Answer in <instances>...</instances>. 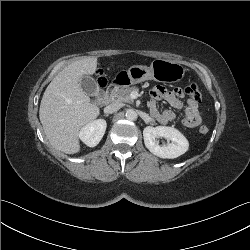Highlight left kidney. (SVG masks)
I'll list each match as a JSON object with an SVG mask.
<instances>
[{"mask_svg": "<svg viewBox=\"0 0 250 250\" xmlns=\"http://www.w3.org/2000/svg\"><path fill=\"white\" fill-rule=\"evenodd\" d=\"M144 144L154 155L163 159H174L184 154L189 147L188 140L174 127L147 126L143 130ZM165 138L171 143L160 145L157 139Z\"/></svg>", "mask_w": 250, "mask_h": 250, "instance_id": "obj_1", "label": "left kidney"}]
</instances>
